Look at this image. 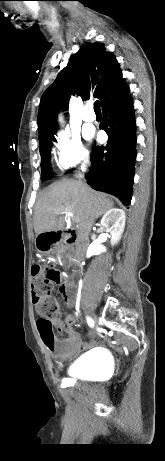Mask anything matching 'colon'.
Returning a JSON list of instances; mask_svg holds the SVG:
<instances>
[{
    "mask_svg": "<svg viewBox=\"0 0 165 461\" xmlns=\"http://www.w3.org/2000/svg\"><path fill=\"white\" fill-rule=\"evenodd\" d=\"M52 242L49 236L42 237L44 246H49ZM61 277L60 271L54 266L36 264L32 268V301L40 315L38 329L41 339L49 349H53L56 345L52 319L59 315L58 301L51 296V292Z\"/></svg>",
    "mask_w": 165,
    "mask_h": 461,
    "instance_id": "obj_1",
    "label": "colon"
}]
</instances>
